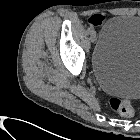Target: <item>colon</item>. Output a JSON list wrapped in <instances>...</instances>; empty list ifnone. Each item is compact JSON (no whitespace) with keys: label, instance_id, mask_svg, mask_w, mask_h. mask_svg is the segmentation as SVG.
Instances as JSON below:
<instances>
[{"label":"colon","instance_id":"5ec220e1","mask_svg":"<svg viewBox=\"0 0 140 140\" xmlns=\"http://www.w3.org/2000/svg\"><path fill=\"white\" fill-rule=\"evenodd\" d=\"M109 106L115 113L122 116L130 117L134 113L131 102L118 97L110 98Z\"/></svg>","mask_w":140,"mask_h":140}]
</instances>
